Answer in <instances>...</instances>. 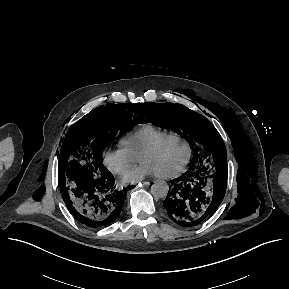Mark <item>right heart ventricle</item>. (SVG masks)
<instances>
[{
    "mask_svg": "<svg viewBox=\"0 0 289 289\" xmlns=\"http://www.w3.org/2000/svg\"><path fill=\"white\" fill-rule=\"evenodd\" d=\"M170 133L173 132L152 124H144L124 134L121 143L138 157L144 149Z\"/></svg>",
    "mask_w": 289,
    "mask_h": 289,
    "instance_id": "1",
    "label": "right heart ventricle"
}]
</instances>
